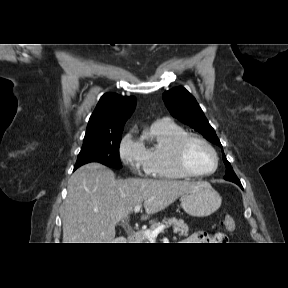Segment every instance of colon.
I'll list each match as a JSON object with an SVG mask.
<instances>
[{
  "label": "colon",
  "instance_id": "1",
  "mask_svg": "<svg viewBox=\"0 0 288 288\" xmlns=\"http://www.w3.org/2000/svg\"><path fill=\"white\" fill-rule=\"evenodd\" d=\"M222 225L224 227V229L228 232H232L235 230V227H236V224H235V220L232 216L230 215H226L223 222H222Z\"/></svg>",
  "mask_w": 288,
  "mask_h": 288
}]
</instances>
